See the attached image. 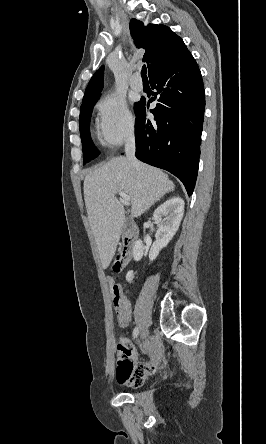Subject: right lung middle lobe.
Segmentation results:
<instances>
[{"mask_svg": "<svg viewBox=\"0 0 266 444\" xmlns=\"http://www.w3.org/2000/svg\"><path fill=\"white\" fill-rule=\"evenodd\" d=\"M98 98L92 99L90 101L84 102L81 105L80 110V122L79 129L81 134L82 146H83V162L84 164L89 159H94L98 156L99 152L95 148L89 132V123L90 117L93 110V106L95 105ZM138 106V103L135 104V110Z\"/></svg>", "mask_w": 266, "mask_h": 444, "instance_id": "obj_1", "label": "right lung middle lobe"}]
</instances>
